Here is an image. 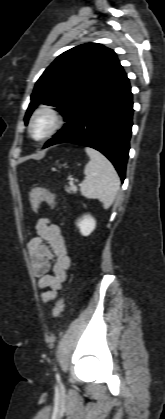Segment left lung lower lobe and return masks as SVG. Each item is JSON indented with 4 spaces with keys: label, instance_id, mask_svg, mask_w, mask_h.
<instances>
[{
    "label": "left lung lower lobe",
    "instance_id": "left-lung-lower-lobe-1",
    "mask_svg": "<svg viewBox=\"0 0 165 419\" xmlns=\"http://www.w3.org/2000/svg\"><path fill=\"white\" fill-rule=\"evenodd\" d=\"M132 115L131 87L123 71L80 106L43 148L58 143H74L94 148L113 163L123 181L129 153Z\"/></svg>",
    "mask_w": 165,
    "mask_h": 419
}]
</instances>
